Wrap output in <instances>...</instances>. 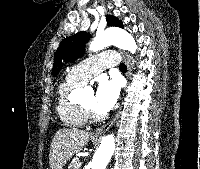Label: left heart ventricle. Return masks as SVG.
<instances>
[{"label": "left heart ventricle", "instance_id": "left-heart-ventricle-1", "mask_svg": "<svg viewBox=\"0 0 200 169\" xmlns=\"http://www.w3.org/2000/svg\"><path fill=\"white\" fill-rule=\"evenodd\" d=\"M85 104L89 107L93 108L95 111L99 113V111L96 108V100H95V94L91 93L85 100Z\"/></svg>", "mask_w": 200, "mask_h": 169}]
</instances>
